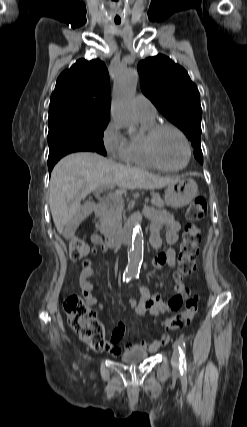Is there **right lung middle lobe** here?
I'll use <instances>...</instances> for the list:
<instances>
[{
  "label": "right lung middle lobe",
  "mask_w": 247,
  "mask_h": 427,
  "mask_svg": "<svg viewBox=\"0 0 247 427\" xmlns=\"http://www.w3.org/2000/svg\"><path fill=\"white\" fill-rule=\"evenodd\" d=\"M109 113L65 109L49 114V147L60 143H76L106 155L103 132Z\"/></svg>",
  "instance_id": "1"
}]
</instances>
